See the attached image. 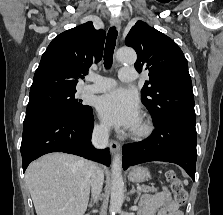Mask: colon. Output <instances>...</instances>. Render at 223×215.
Listing matches in <instances>:
<instances>
[{
  "instance_id": "obj_1",
  "label": "colon",
  "mask_w": 223,
  "mask_h": 215,
  "mask_svg": "<svg viewBox=\"0 0 223 215\" xmlns=\"http://www.w3.org/2000/svg\"><path fill=\"white\" fill-rule=\"evenodd\" d=\"M166 178L171 184V188L176 203L178 205L185 204L187 200V192L183 187L182 181L177 177L176 173L172 170L166 172Z\"/></svg>"
}]
</instances>
